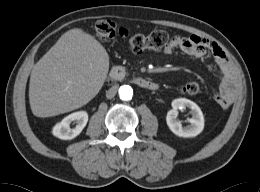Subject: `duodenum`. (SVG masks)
Instances as JSON below:
<instances>
[{
  "label": "duodenum",
  "mask_w": 260,
  "mask_h": 192,
  "mask_svg": "<svg viewBox=\"0 0 260 192\" xmlns=\"http://www.w3.org/2000/svg\"><path fill=\"white\" fill-rule=\"evenodd\" d=\"M110 78L113 81H123L127 79V75L123 68L116 66L111 69ZM129 81L142 89L150 91H155L158 89V84L156 82L144 77H132L129 79Z\"/></svg>",
  "instance_id": "410a0bca"
}]
</instances>
